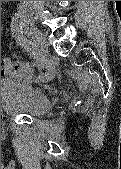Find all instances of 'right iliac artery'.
Segmentation results:
<instances>
[{
  "mask_svg": "<svg viewBox=\"0 0 121 169\" xmlns=\"http://www.w3.org/2000/svg\"><path fill=\"white\" fill-rule=\"evenodd\" d=\"M11 31L17 43L27 52H29L42 65V67L46 68L47 73L42 76V78L47 80V78H49L51 65L47 58L37 49L36 44L32 40L28 39L30 33L25 29L23 30L20 13H15L13 16Z\"/></svg>",
  "mask_w": 121,
  "mask_h": 169,
  "instance_id": "obj_1",
  "label": "right iliac artery"
}]
</instances>
